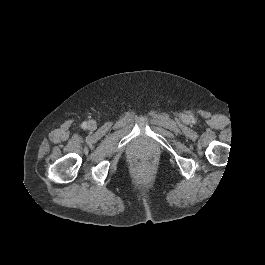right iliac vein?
I'll return each instance as SVG.
<instances>
[{"mask_svg": "<svg viewBox=\"0 0 265 265\" xmlns=\"http://www.w3.org/2000/svg\"><path fill=\"white\" fill-rule=\"evenodd\" d=\"M92 126H94V122H93V121H90V122L88 123V128H91Z\"/></svg>", "mask_w": 265, "mask_h": 265, "instance_id": "63e3f726", "label": "right iliac vein"}]
</instances>
